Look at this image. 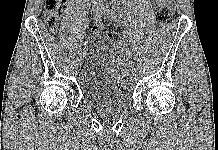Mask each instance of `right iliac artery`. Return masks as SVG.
I'll return each instance as SVG.
<instances>
[{
	"instance_id": "right-iliac-artery-1",
	"label": "right iliac artery",
	"mask_w": 218,
	"mask_h": 150,
	"mask_svg": "<svg viewBox=\"0 0 218 150\" xmlns=\"http://www.w3.org/2000/svg\"><path fill=\"white\" fill-rule=\"evenodd\" d=\"M92 20H93V23L94 24H97V23H99L100 21H101V15H93V18H92ZM81 51H82V53L84 54V55H87V50H85L83 47L80 49Z\"/></svg>"
}]
</instances>
